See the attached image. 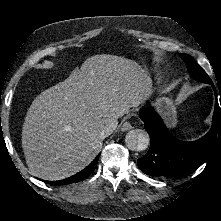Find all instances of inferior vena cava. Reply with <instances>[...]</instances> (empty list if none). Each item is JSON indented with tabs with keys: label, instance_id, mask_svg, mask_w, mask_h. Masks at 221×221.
Wrapping results in <instances>:
<instances>
[{
	"label": "inferior vena cava",
	"instance_id": "602c4592",
	"mask_svg": "<svg viewBox=\"0 0 221 221\" xmlns=\"http://www.w3.org/2000/svg\"><path fill=\"white\" fill-rule=\"evenodd\" d=\"M114 130H115V127L113 125L105 126L100 130L99 137L101 139H104L108 137L109 135H111Z\"/></svg>",
	"mask_w": 221,
	"mask_h": 221
}]
</instances>
